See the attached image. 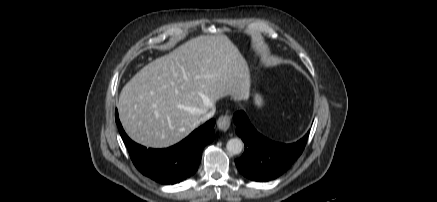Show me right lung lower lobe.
Wrapping results in <instances>:
<instances>
[{"instance_id":"1","label":"right lung lower lobe","mask_w":437,"mask_h":202,"mask_svg":"<svg viewBox=\"0 0 437 202\" xmlns=\"http://www.w3.org/2000/svg\"><path fill=\"white\" fill-rule=\"evenodd\" d=\"M115 120L135 167L161 184H176L193 176L199 167L203 148L214 139L215 119H211L174 146L147 149L128 138L117 110Z\"/></svg>"}]
</instances>
